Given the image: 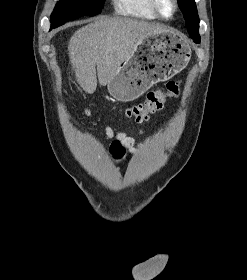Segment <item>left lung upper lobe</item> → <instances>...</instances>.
<instances>
[{
	"mask_svg": "<svg viewBox=\"0 0 247 280\" xmlns=\"http://www.w3.org/2000/svg\"><path fill=\"white\" fill-rule=\"evenodd\" d=\"M179 5L191 38H200L199 17L194 0H179Z\"/></svg>",
	"mask_w": 247,
	"mask_h": 280,
	"instance_id": "obj_1",
	"label": "left lung upper lobe"
}]
</instances>
